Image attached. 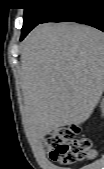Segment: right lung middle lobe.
<instances>
[{"mask_svg":"<svg viewBox=\"0 0 104 169\" xmlns=\"http://www.w3.org/2000/svg\"><path fill=\"white\" fill-rule=\"evenodd\" d=\"M24 5L21 40L55 9L57 3L55 0H24Z\"/></svg>","mask_w":104,"mask_h":169,"instance_id":"1","label":"right lung middle lobe"}]
</instances>
